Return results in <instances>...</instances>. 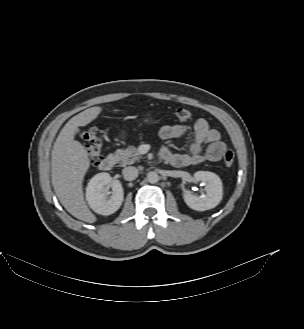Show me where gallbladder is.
I'll return each instance as SVG.
<instances>
[{
  "label": "gallbladder",
  "instance_id": "1",
  "mask_svg": "<svg viewBox=\"0 0 304 329\" xmlns=\"http://www.w3.org/2000/svg\"><path fill=\"white\" fill-rule=\"evenodd\" d=\"M76 133H79V130L78 129L76 130Z\"/></svg>",
  "mask_w": 304,
  "mask_h": 329
}]
</instances>
